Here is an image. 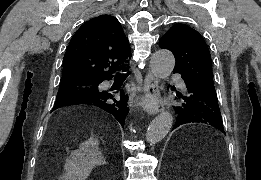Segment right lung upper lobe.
<instances>
[{
    "mask_svg": "<svg viewBox=\"0 0 261 180\" xmlns=\"http://www.w3.org/2000/svg\"><path fill=\"white\" fill-rule=\"evenodd\" d=\"M131 56L129 42L119 21L101 15L85 22L71 39L64 56L61 81L112 78ZM108 69V70H106Z\"/></svg>",
    "mask_w": 261,
    "mask_h": 180,
    "instance_id": "1",
    "label": "right lung upper lobe"
}]
</instances>
